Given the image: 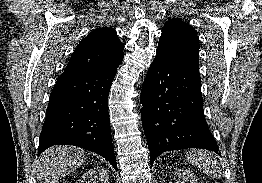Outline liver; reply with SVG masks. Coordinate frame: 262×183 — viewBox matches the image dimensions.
<instances>
[{"label":"liver","mask_w":262,"mask_h":183,"mask_svg":"<svg viewBox=\"0 0 262 183\" xmlns=\"http://www.w3.org/2000/svg\"><path fill=\"white\" fill-rule=\"evenodd\" d=\"M86 159L85 152L74 146H54L39 159L37 179L40 183H55L77 169Z\"/></svg>","instance_id":"1"}]
</instances>
